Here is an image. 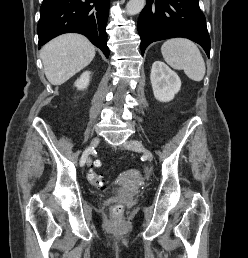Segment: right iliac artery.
I'll return each instance as SVG.
<instances>
[{
  "label": "right iliac artery",
  "instance_id": "obj_1",
  "mask_svg": "<svg viewBox=\"0 0 248 258\" xmlns=\"http://www.w3.org/2000/svg\"><path fill=\"white\" fill-rule=\"evenodd\" d=\"M93 148L88 147L85 149V151L83 152L81 159H80V166H84L86 159L88 157V155L90 154V152L92 151Z\"/></svg>",
  "mask_w": 248,
  "mask_h": 258
}]
</instances>
